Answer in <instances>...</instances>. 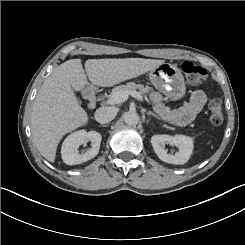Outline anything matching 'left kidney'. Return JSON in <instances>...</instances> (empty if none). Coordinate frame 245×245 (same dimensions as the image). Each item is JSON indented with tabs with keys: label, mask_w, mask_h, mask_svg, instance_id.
<instances>
[{
	"label": "left kidney",
	"mask_w": 245,
	"mask_h": 245,
	"mask_svg": "<svg viewBox=\"0 0 245 245\" xmlns=\"http://www.w3.org/2000/svg\"><path fill=\"white\" fill-rule=\"evenodd\" d=\"M165 144H174L179 147V150L174 155L168 153ZM151 145L159 157L165 163L183 165L185 164L194 150V139L183 134L170 135H154L151 138Z\"/></svg>",
	"instance_id": "5707ae66"
}]
</instances>
